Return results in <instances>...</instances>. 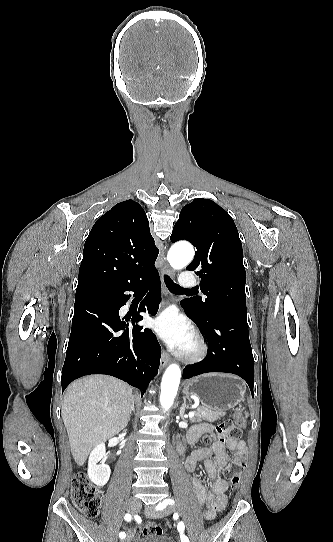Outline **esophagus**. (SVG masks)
Instances as JSON below:
<instances>
[{
  "mask_svg": "<svg viewBox=\"0 0 333 542\" xmlns=\"http://www.w3.org/2000/svg\"><path fill=\"white\" fill-rule=\"evenodd\" d=\"M162 273L172 275L173 272H172V270L170 269V267H169V265L167 263H165ZM163 288L165 290V287H163ZM170 361H171L170 355L163 349L162 354H161L160 366L162 368H164V367H166V365H168L170 363Z\"/></svg>",
  "mask_w": 333,
  "mask_h": 542,
  "instance_id": "obj_1",
  "label": "esophagus"
}]
</instances>
